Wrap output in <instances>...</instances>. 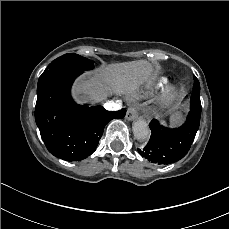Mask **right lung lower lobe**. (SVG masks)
<instances>
[{
	"label": "right lung lower lobe",
	"mask_w": 229,
	"mask_h": 229,
	"mask_svg": "<svg viewBox=\"0 0 229 229\" xmlns=\"http://www.w3.org/2000/svg\"><path fill=\"white\" fill-rule=\"evenodd\" d=\"M83 71H58L38 82L35 120L49 152L67 161H80L91 155L102 137L105 125L123 118L126 110L111 112L102 106L73 103L70 95L74 79Z\"/></svg>",
	"instance_id": "right-lung-lower-lobe-1"
}]
</instances>
